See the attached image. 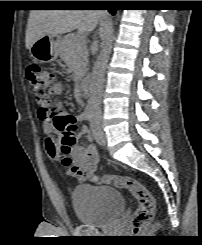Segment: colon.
<instances>
[{
  "instance_id": "obj_1",
  "label": "colon",
  "mask_w": 202,
  "mask_h": 245,
  "mask_svg": "<svg viewBox=\"0 0 202 245\" xmlns=\"http://www.w3.org/2000/svg\"><path fill=\"white\" fill-rule=\"evenodd\" d=\"M26 77L31 84L32 93L37 103L38 113L42 115L43 121L50 122L54 129L63 134L59 151L53 149L51 154L54 156L60 152L63 166L67 167L72 172H76V167L71 165L68 154L76 143L74 132L78 127L79 121L72 115H54L50 109L51 96L60 91V73L39 64H29L26 69ZM93 179L95 182L115 183L133 193L137 199L138 206L132 215L131 228L133 235H139L141 228L149 223L154 217L155 203L150 192L136 180L126 175H94Z\"/></svg>"
}]
</instances>
